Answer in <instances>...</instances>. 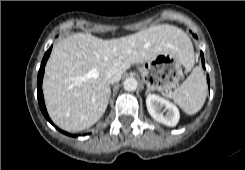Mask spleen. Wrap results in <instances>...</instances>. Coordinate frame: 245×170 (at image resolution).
I'll return each instance as SVG.
<instances>
[{
    "label": "spleen",
    "instance_id": "3e777b00",
    "mask_svg": "<svg viewBox=\"0 0 245 170\" xmlns=\"http://www.w3.org/2000/svg\"><path fill=\"white\" fill-rule=\"evenodd\" d=\"M194 62L193 49L191 53ZM207 96L206 78L201 67H195L186 80L173 92L170 97L187 114L197 113L204 105Z\"/></svg>",
    "mask_w": 245,
    "mask_h": 170
}]
</instances>
